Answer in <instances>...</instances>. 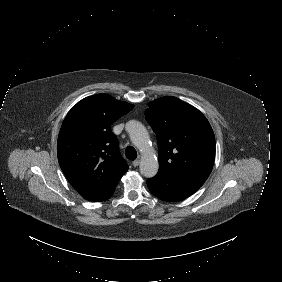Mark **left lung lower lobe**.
Masks as SVG:
<instances>
[{
	"instance_id": "obj_1",
	"label": "left lung lower lobe",
	"mask_w": 282,
	"mask_h": 282,
	"mask_svg": "<svg viewBox=\"0 0 282 282\" xmlns=\"http://www.w3.org/2000/svg\"><path fill=\"white\" fill-rule=\"evenodd\" d=\"M206 179L177 175L169 176L162 173L147 180L151 193L164 201H181L195 193Z\"/></svg>"
}]
</instances>
